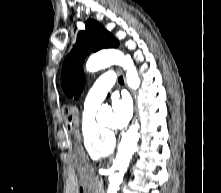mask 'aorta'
<instances>
[{
    "label": "aorta",
    "instance_id": "obj_1",
    "mask_svg": "<svg viewBox=\"0 0 221 193\" xmlns=\"http://www.w3.org/2000/svg\"><path fill=\"white\" fill-rule=\"evenodd\" d=\"M111 65L123 67L126 71V81L130 88L135 90L139 87L140 78L132 59L119 50H104L92 55L86 63V69L89 72H97ZM110 112L111 109L109 107H101L98 111L97 118L99 119ZM139 139V124L136 123L130 126L127 132L122 136L118 153L114 160V166L118 172L111 175L107 193H117L119 185L128 169L132 155L137 149Z\"/></svg>",
    "mask_w": 221,
    "mask_h": 193
}]
</instances>
